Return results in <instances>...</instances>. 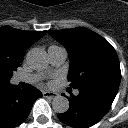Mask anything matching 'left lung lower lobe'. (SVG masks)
I'll return each mask as SVG.
<instances>
[{"label": "left lung lower lobe", "mask_w": 128, "mask_h": 128, "mask_svg": "<svg viewBox=\"0 0 128 128\" xmlns=\"http://www.w3.org/2000/svg\"><path fill=\"white\" fill-rule=\"evenodd\" d=\"M118 88L119 84L98 82L78 89L77 96L68 98L69 110L58 114L59 120L73 128L93 126L109 111Z\"/></svg>", "instance_id": "1"}]
</instances>
